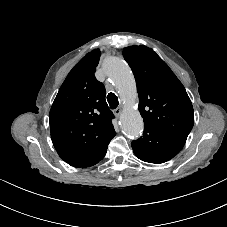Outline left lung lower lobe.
<instances>
[{
	"label": "left lung lower lobe",
	"mask_w": 227,
	"mask_h": 227,
	"mask_svg": "<svg viewBox=\"0 0 227 227\" xmlns=\"http://www.w3.org/2000/svg\"><path fill=\"white\" fill-rule=\"evenodd\" d=\"M135 155L149 163H164L176 156L185 141L155 128L144 127L143 136L132 142Z\"/></svg>",
	"instance_id": "0a47b994"
}]
</instances>
